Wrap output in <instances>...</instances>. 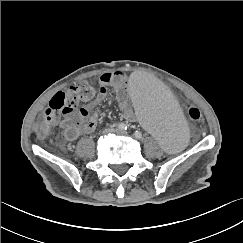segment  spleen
I'll return each mask as SVG.
<instances>
[{
	"instance_id": "1",
	"label": "spleen",
	"mask_w": 243,
	"mask_h": 243,
	"mask_svg": "<svg viewBox=\"0 0 243 243\" xmlns=\"http://www.w3.org/2000/svg\"><path fill=\"white\" fill-rule=\"evenodd\" d=\"M132 111L138 128L146 133L162 151L182 150L191 136L185 114L176 95L147 71H136L126 81Z\"/></svg>"
}]
</instances>
